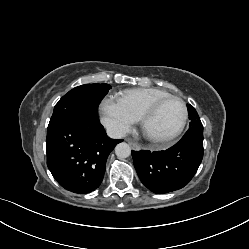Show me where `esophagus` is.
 Returning <instances> with one entry per match:
<instances>
[{"mask_svg": "<svg viewBox=\"0 0 249 249\" xmlns=\"http://www.w3.org/2000/svg\"><path fill=\"white\" fill-rule=\"evenodd\" d=\"M127 142L129 143V145H130L134 150H140V146H139L137 143H135V142H133V141H131V140H127Z\"/></svg>", "mask_w": 249, "mask_h": 249, "instance_id": "34e87169", "label": "esophagus"}]
</instances>
